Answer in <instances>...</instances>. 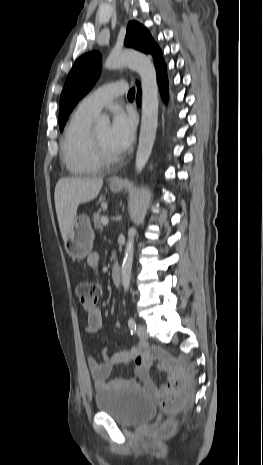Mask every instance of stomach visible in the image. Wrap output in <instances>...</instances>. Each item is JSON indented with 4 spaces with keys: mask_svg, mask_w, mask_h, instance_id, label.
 <instances>
[{
    "mask_svg": "<svg viewBox=\"0 0 263 465\" xmlns=\"http://www.w3.org/2000/svg\"><path fill=\"white\" fill-rule=\"evenodd\" d=\"M112 192L117 193L123 189V185H111ZM94 232L90 219L86 215L77 216L69 230L64 246L67 254L74 259H84L92 250Z\"/></svg>",
    "mask_w": 263,
    "mask_h": 465,
    "instance_id": "0dacf381",
    "label": "stomach"
}]
</instances>
